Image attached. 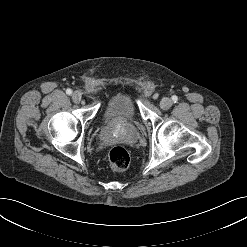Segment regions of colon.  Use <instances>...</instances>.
<instances>
[{"mask_svg":"<svg viewBox=\"0 0 247 247\" xmlns=\"http://www.w3.org/2000/svg\"><path fill=\"white\" fill-rule=\"evenodd\" d=\"M109 161L113 169L124 170L129 166L130 155L122 146H115L109 152Z\"/></svg>","mask_w":247,"mask_h":247,"instance_id":"1","label":"colon"}]
</instances>
